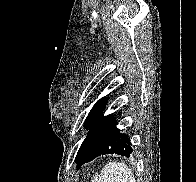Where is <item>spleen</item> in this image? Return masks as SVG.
Here are the masks:
<instances>
[{"mask_svg":"<svg viewBox=\"0 0 196 182\" xmlns=\"http://www.w3.org/2000/svg\"><path fill=\"white\" fill-rule=\"evenodd\" d=\"M92 182H135V179L125 163L109 162Z\"/></svg>","mask_w":196,"mask_h":182,"instance_id":"spleen-1","label":"spleen"}]
</instances>
